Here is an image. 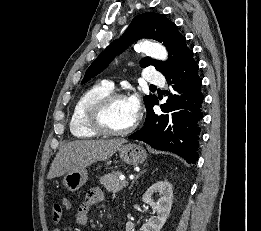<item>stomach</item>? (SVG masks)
<instances>
[{
  "instance_id": "stomach-1",
  "label": "stomach",
  "mask_w": 261,
  "mask_h": 231,
  "mask_svg": "<svg viewBox=\"0 0 261 231\" xmlns=\"http://www.w3.org/2000/svg\"><path fill=\"white\" fill-rule=\"evenodd\" d=\"M120 158L129 165H138L147 158L146 151L136 144L121 145L118 149ZM88 172L85 168L68 172L63 178V184L70 192L79 190L87 181Z\"/></svg>"
}]
</instances>
